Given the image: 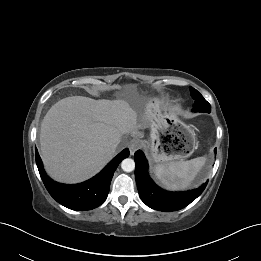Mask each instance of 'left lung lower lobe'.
<instances>
[{"label": "left lung lower lobe", "instance_id": "1", "mask_svg": "<svg viewBox=\"0 0 261 261\" xmlns=\"http://www.w3.org/2000/svg\"><path fill=\"white\" fill-rule=\"evenodd\" d=\"M216 151V149H215ZM135 179L142 201L152 209L171 212L180 210L193 202L204 191L208 181L197 189L186 192H168L158 187L148 175V163L144 153L134 154Z\"/></svg>", "mask_w": 261, "mask_h": 261}]
</instances>
